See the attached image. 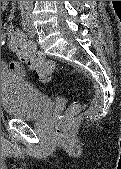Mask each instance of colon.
<instances>
[{
  "instance_id": "5ec220e1",
  "label": "colon",
  "mask_w": 121,
  "mask_h": 169,
  "mask_svg": "<svg viewBox=\"0 0 121 169\" xmlns=\"http://www.w3.org/2000/svg\"><path fill=\"white\" fill-rule=\"evenodd\" d=\"M7 42L9 49L15 53L18 61L32 70L40 81L47 82L50 80L52 73L55 70L54 63L45 59L24 34L9 27L7 29ZM73 112L74 108H71L69 110V115H72ZM71 129L72 123L68 118L59 121L55 125L53 133L56 139L65 141L68 139Z\"/></svg>"
}]
</instances>
